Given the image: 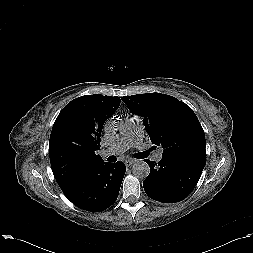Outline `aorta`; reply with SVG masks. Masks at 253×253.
Segmentation results:
<instances>
[{"label":"aorta","mask_w":253,"mask_h":253,"mask_svg":"<svg viewBox=\"0 0 253 253\" xmlns=\"http://www.w3.org/2000/svg\"><path fill=\"white\" fill-rule=\"evenodd\" d=\"M124 128V123L117 120H109L104 125V131L111 136L119 135ZM132 173L136 178L145 179L150 173V167L145 161L137 160L132 166Z\"/></svg>","instance_id":"aorta-1"}]
</instances>
